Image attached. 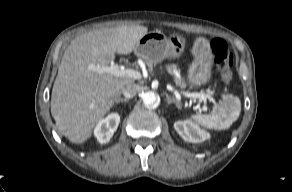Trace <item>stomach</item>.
Instances as JSON below:
<instances>
[{
  "instance_id": "0dacf381",
  "label": "stomach",
  "mask_w": 292,
  "mask_h": 192,
  "mask_svg": "<svg viewBox=\"0 0 292 192\" xmlns=\"http://www.w3.org/2000/svg\"><path fill=\"white\" fill-rule=\"evenodd\" d=\"M185 44V39L178 34L168 38L161 31H153L139 40L134 51L147 63L153 64L167 58H179L184 52ZM191 53L194 59L189 65L187 80L191 86L199 87L205 85L212 74L213 54L210 42L203 37L196 38Z\"/></svg>"
}]
</instances>
